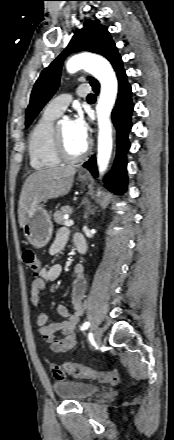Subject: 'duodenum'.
<instances>
[{
    "label": "duodenum",
    "mask_w": 174,
    "mask_h": 440,
    "mask_svg": "<svg viewBox=\"0 0 174 440\" xmlns=\"http://www.w3.org/2000/svg\"><path fill=\"white\" fill-rule=\"evenodd\" d=\"M76 236H78V238L75 241V246L81 254H85L87 251L85 239L82 235H76Z\"/></svg>",
    "instance_id": "1"
}]
</instances>
